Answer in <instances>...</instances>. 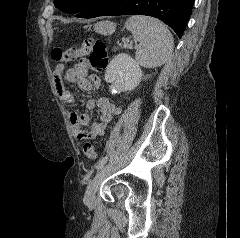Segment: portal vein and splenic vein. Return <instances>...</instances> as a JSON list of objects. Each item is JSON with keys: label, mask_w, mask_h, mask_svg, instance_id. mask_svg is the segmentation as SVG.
I'll use <instances>...</instances> for the list:
<instances>
[{"label": "portal vein and splenic vein", "mask_w": 240, "mask_h": 238, "mask_svg": "<svg viewBox=\"0 0 240 238\" xmlns=\"http://www.w3.org/2000/svg\"><path fill=\"white\" fill-rule=\"evenodd\" d=\"M128 40H126L125 42H124V47L125 48H130L131 46H132V43L130 44V45H128Z\"/></svg>", "instance_id": "portal-vein-and-splenic-vein-1"}]
</instances>
